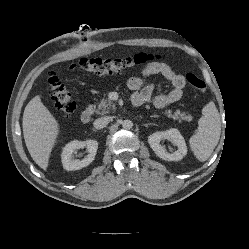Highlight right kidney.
Here are the masks:
<instances>
[{"mask_svg": "<svg viewBox=\"0 0 249 249\" xmlns=\"http://www.w3.org/2000/svg\"><path fill=\"white\" fill-rule=\"evenodd\" d=\"M87 148L88 155L82 160L73 159L72 154L80 148ZM98 148L96 140L78 141L74 140L68 143L61 154L63 168L67 171L79 170L88 166L95 158Z\"/></svg>", "mask_w": 249, "mask_h": 249, "instance_id": "obj_1", "label": "right kidney"}]
</instances>
